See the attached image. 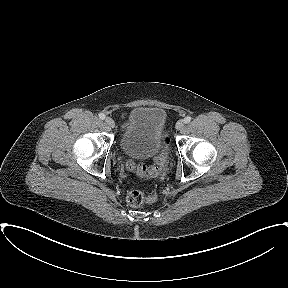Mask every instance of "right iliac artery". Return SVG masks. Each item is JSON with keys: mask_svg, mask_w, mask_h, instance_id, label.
Instances as JSON below:
<instances>
[{"mask_svg": "<svg viewBox=\"0 0 288 288\" xmlns=\"http://www.w3.org/2000/svg\"><path fill=\"white\" fill-rule=\"evenodd\" d=\"M99 118L103 120V119H105V115L103 113H100Z\"/></svg>", "mask_w": 288, "mask_h": 288, "instance_id": "right-iliac-artery-1", "label": "right iliac artery"}]
</instances>
